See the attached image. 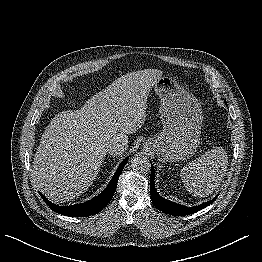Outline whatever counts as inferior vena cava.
Returning <instances> with one entry per match:
<instances>
[{"label": "inferior vena cava", "instance_id": "inferior-vena-cava-1", "mask_svg": "<svg viewBox=\"0 0 262 262\" xmlns=\"http://www.w3.org/2000/svg\"><path fill=\"white\" fill-rule=\"evenodd\" d=\"M128 148L127 141H115L108 146V153L112 156L123 154Z\"/></svg>", "mask_w": 262, "mask_h": 262}]
</instances>
